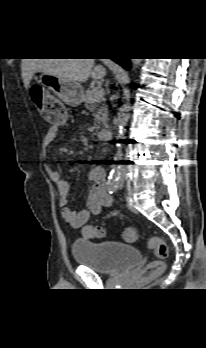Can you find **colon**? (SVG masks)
Masks as SVG:
<instances>
[{
	"label": "colon",
	"mask_w": 206,
	"mask_h": 348,
	"mask_svg": "<svg viewBox=\"0 0 206 348\" xmlns=\"http://www.w3.org/2000/svg\"><path fill=\"white\" fill-rule=\"evenodd\" d=\"M32 100L40 114L54 127H62L68 122V115L61 102L51 94L45 93L40 87L31 89ZM82 235L88 240L103 237L104 230L100 227L86 225L82 228ZM138 237V230L135 227H128L124 231L126 241H134ZM148 247L154 251L157 260L149 263L140 271L142 277H153L164 270V262L169 255L167 243L160 237H151L148 240Z\"/></svg>",
	"instance_id": "5ec220e1"
}]
</instances>
